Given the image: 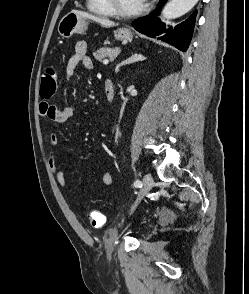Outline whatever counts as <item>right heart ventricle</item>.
I'll return each mask as SVG.
<instances>
[{"instance_id": "1", "label": "right heart ventricle", "mask_w": 249, "mask_h": 294, "mask_svg": "<svg viewBox=\"0 0 249 294\" xmlns=\"http://www.w3.org/2000/svg\"><path fill=\"white\" fill-rule=\"evenodd\" d=\"M86 5L88 10L94 14L100 16L114 15L105 0H86Z\"/></svg>"}]
</instances>
